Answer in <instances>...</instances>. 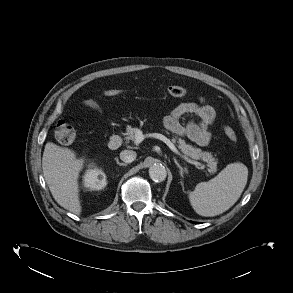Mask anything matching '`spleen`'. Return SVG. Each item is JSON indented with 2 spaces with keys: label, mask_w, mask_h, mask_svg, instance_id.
Here are the masks:
<instances>
[{
  "label": "spleen",
  "mask_w": 293,
  "mask_h": 293,
  "mask_svg": "<svg viewBox=\"0 0 293 293\" xmlns=\"http://www.w3.org/2000/svg\"><path fill=\"white\" fill-rule=\"evenodd\" d=\"M248 178V168L240 162L228 164L216 177L196 185L189 193L193 209L201 216L222 214L240 198Z\"/></svg>",
  "instance_id": "1"
}]
</instances>
